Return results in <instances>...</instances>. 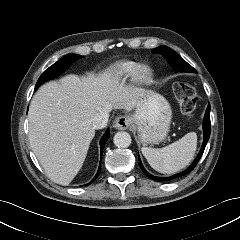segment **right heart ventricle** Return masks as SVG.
Wrapping results in <instances>:
<instances>
[{
	"mask_svg": "<svg viewBox=\"0 0 240 240\" xmlns=\"http://www.w3.org/2000/svg\"><path fill=\"white\" fill-rule=\"evenodd\" d=\"M137 64L132 61H121L110 69V79L113 83H120L132 75Z\"/></svg>",
	"mask_w": 240,
	"mask_h": 240,
	"instance_id": "right-heart-ventricle-1",
	"label": "right heart ventricle"
}]
</instances>
